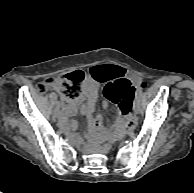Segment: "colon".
I'll use <instances>...</instances> for the list:
<instances>
[{
	"label": "colon",
	"instance_id": "5ec220e1",
	"mask_svg": "<svg viewBox=\"0 0 194 193\" xmlns=\"http://www.w3.org/2000/svg\"><path fill=\"white\" fill-rule=\"evenodd\" d=\"M85 79V75L82 71L76 70L66 73L59 77L50 78L44 82H40L36 85V89L39 93L47 92L48 88L55 85L59 88L62 97L65 101L71 102L80 98L82 93V83ZM117 87L132 92L134 86L130 80L122 75L114 83H109L104 89V95L108 98H113ZM132 123L127 122L118 127V137L122 138L127 128L131 127Z\"/></svg>",
	"mask_w": 194,
	"mask_h": 193
}]
</instances>
